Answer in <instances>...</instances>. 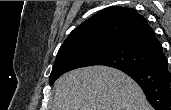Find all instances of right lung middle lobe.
<instances>
[{
	"label": "right lung middle lobe",
	"mask_w": 171,
	"mask_h": 110,
	"mask_svg": "<svg viewBox=\"0 0 171 110\" xmlns=\"http://www.w3.org/2000/svg\"><path fill=\"white\" fill-rule=\"evenodd\" d=\"M154 61V56L129 47L110 44H88L67 48L58 52L49 82H53L65 72L91 66L105 65L117 69L140 68Z\"/></svg>",
	"instance_id": "right-lung-middle-lobe-1"
}]
</instances>
